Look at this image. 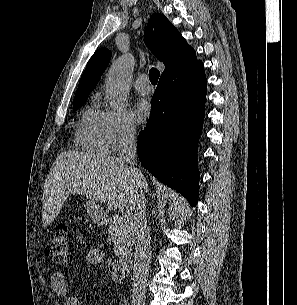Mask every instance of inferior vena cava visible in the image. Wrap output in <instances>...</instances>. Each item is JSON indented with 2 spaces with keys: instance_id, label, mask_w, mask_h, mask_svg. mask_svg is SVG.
I'll return each instance as SVG.
<instances>
[{
  "instance_id": "602c4592",
  "label": "inferior vena cava",
  "mask_w": 297,
  "mask_h": 305,
  "mask_svg": "<svg viewBox=\"0 0 297 305\" xmlns=\"http://www.w3.org/2000/svg\"><path fill=\"white\" fill-rule=\"evenodd\" d=\"M121 153L120 158L130 164L137 181H143V174L135 167L136 159V138L135 131L131 128H124L121 132ZM134 209V232L136 238L133 275H132V303L140 305L144 302L147 277L151 263V242L147 228L146 200L143 188H140L131 202Z\"/></svg>"
}]
</instances>
